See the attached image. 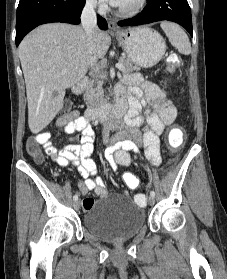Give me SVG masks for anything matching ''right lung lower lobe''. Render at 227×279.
Masks as SVG:
<instances>
[{"label":"right lung lower lobe","mask_w":227,"mask_h":279,"mask_svg":"<svg viewBox=\"0 0 227 279\" xmlns=\"http://www.w3.org/2000/svg\"><path fill=\"white\" fill-rule=\"evenodd\" d=\"M85 0H20L16 19V46L35 27L51 22L79 24ZM98 26L108 29L104 18L97 16Z\"/></svg>","instance_id":"98d812e1"}]
</instances>
